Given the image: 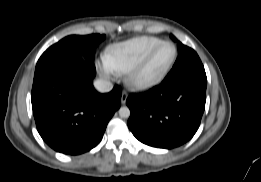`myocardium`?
Wrapping results in <instances>:
<instances>
[{
	"label": "myocardium",
	"mask_w": 261,
	"mask_h": 182,
	"mask_svg": "<svg viewBox=\"0 0 261 182\" xmlns=\"http://www.w3.org/2000/svg\"><path fill=\"white\" fill-rule=\"evenodd\" d=\"M171 46L173 48V57L169 64L158 74L152 77H143L142 73L147 67L153 56L163 47ZM178 51L177 47L169 41H162L155 47H153L141 60H139L126 74L127 84L137 90L147 89L160 83L170 72L177 59Z\"/></svg>",
	"instance_id": "1"
}]
</instances>
